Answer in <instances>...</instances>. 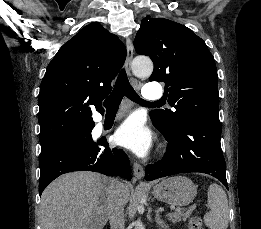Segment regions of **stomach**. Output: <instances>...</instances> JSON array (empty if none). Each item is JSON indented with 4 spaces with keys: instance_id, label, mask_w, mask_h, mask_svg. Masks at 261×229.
<instances>
[{
    "instance_id": "obj_1",
    "label": "stomach",
    "mask_w": 261,
    "mask_h": 229,
    "mask_svg": "<svg viewBox=\"0 0 261 229\" xmlns=\"http://www.w3.org/2000/svg\"><path fill=\"white\" fill-rule=\"evenodd\" d=\"M196 189V185L187 177H170L155 185L152 195L154 199L163 201L167 205L183 207L194 201L197 195Z\"/></svg>"
}]
</instances>
